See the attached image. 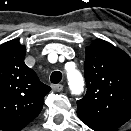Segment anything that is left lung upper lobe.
<instances>
[{"label": "left lung upper lobe", "instance_id": "obj_1", "mask_svg": "<svg viewBox=\"0 0 131 131\" xmlns=\"http://www.w3.org/2000/svg\"><path fill=\"white\" fill-rule=\"evenodd\" d=\"M86 95L77 101L79 119L94 131H115L131 118V59L96 39L86 47Z\"/></svg>", "mask_w": 131, "mask_h": 131}]
</instances>
